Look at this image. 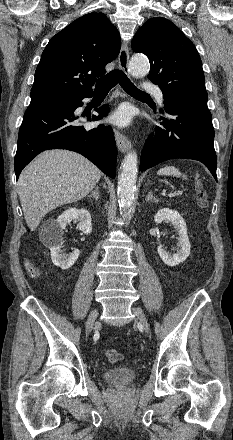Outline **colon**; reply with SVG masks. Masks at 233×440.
Instances as JSON below:
<instances>
[{"label":"colon","mask_w":233,"mask_h":440,"mask_svg":"<svg viewBox=\"0 0 233 440\" xmlns=\"http://www.w3.org/2000/svg\"><path fill=\"white\" fill-rule=\"evenodd\" d=\"M195 187H196L197 205L200 209L205 210L208 208L209 205L208 194L200 177H197L195 179ZM26 268L28 273L32 277L38 276L39 274L38 268L32 262L27 261ZM105 355L110 362H120L123 360V355L115 349H107L105 351Z\"/></svg>","instance_id":"colon-1"}]
</instances>
